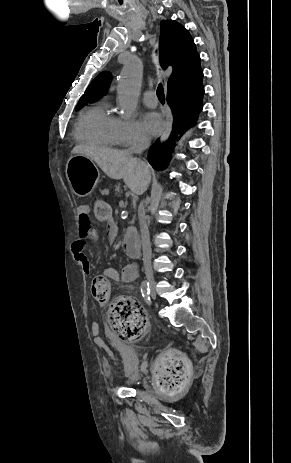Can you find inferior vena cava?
<instances>
[{"instance_id": "inferior-vena-cava-1", "label": "inferior vena cava", "mask_w": 291, "mask_h": 463, "mask_svg": "<svg viewBox=\"0 0 291 463\" xmlns=\"http://www.w3.org/2000/svg\"><path fill=\"white\" fill-rule=\"evenodd\" d=\"M150 145V139L149 137L145 135H141L138 139V141L130 147L127 152L132 154V153H137L140 154L142 153L145 149H147ZM139 213H140V231H141V239H142V248H143V257L146 259L151 258V246H150V236H149V230H148V225L146 221V214H145V204L144 202H141L139 206ZM146 276L151 277L152 272L151 270L146 271Z\"/></svg>"}]
</instances>
